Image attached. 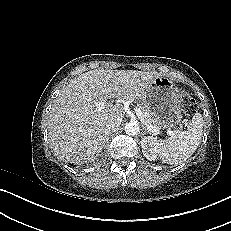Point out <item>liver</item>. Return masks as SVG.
I'll use <instances>...</instances> for the list:
<instances>
[{"label": "liver", "instance_id": "1", "mask_svg": "<svg viewBox=\"0 0 231 231\" xmlns=\"http://www.w3.org/2000/svg\"><path fill=\"white\" fill-rule=\"evenodd\" d=\"M159 72L95 69L72 80L55 100L48 119V138L54 153L74 164L98 159L108 138V121L124 116L123 106L108 105L101 112L95 102L111 98L142 99Z\"/></svg>", "mask_w": 231, "mask_h": 231}]
</instances>
